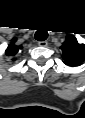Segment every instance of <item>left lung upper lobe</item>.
Instances as JSON below:
<instances>
[{"label":"left lung upper lobe","mask_w":85,"mask_h":118,"mask_svg":"<svg viewBox=\"0 0 85 118\" xmlns=\"http://www.w3.org/2000/svg\"><path fill=\"white\" fill-rule=\"evenodd\" d=\"M63 51V58L65 59V63L68 65H75L76 64V56L75 52L73 51L72 47L68 44L61 47Z\"/></svg>","instance_id":"left-lung-upper-lobe-1"}]
</instances>
